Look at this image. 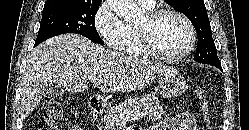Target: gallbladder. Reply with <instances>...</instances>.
<instances>
[{"instance_id": "bac80fb5", "label": "gallbladder", "mask_w": 249, "mask_h": 130, "mask_svg": "<svg viewBox=\"0 0 249 130\" xmlns=\"http://www.w3.org/2000/svg\"><path fill=\"white\" fill-rule=\"evenodd\" d=\"M64 93H65V90L62 87L57 86V85L49 84V85L44 86L42 89V95L48 98L63 95Z\"/></svg>"}]
</instances>
